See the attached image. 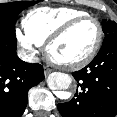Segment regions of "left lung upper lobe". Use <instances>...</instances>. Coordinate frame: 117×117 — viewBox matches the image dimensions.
Returning <instances> with one entry per match:
<instances>
[{
    "label": "left lung upper lobe",
    "instance_id": "5c2ea615",
    "mask_svg": "<svg viewBox=\"0 0 117 117\" xmlns=\"http://www.w3.org/2000/svg\"><path fill=\"white\" fill-rule=\"evenodd\" d=\"M103 32L106 34L104 41L110 38L113 34L117 33V24L111 20L102 21Z\"/></svg>",
    "mask_w": 117,
    "mask_h": 117
}]
</instances>
